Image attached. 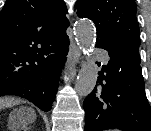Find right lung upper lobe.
Here are the masks:
<instances>
[{
  "mask_svg": "<svg viewBox=\"0 0 151 131\" xmlns=\"http://www.w3.org/2000/svg\"><path fill=\"white\" fill-rule=\"evenodd\" d=\"M63 0H7L0 12V94L39 70L65 38Z\"/></svg>",
  "mask_w": 151,
  "mask_h": 131,
  "instance_id": "cb5924a9",
  "label": "right lung upper lobe"
}]
</instances>
